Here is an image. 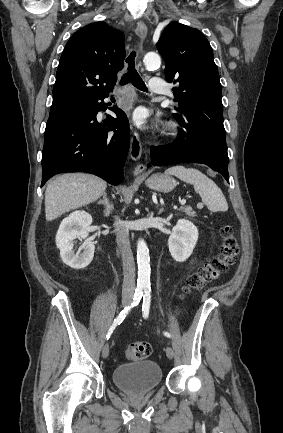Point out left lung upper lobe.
I'll return each instance as SVG.
<instances>
[{"label": "left lung upper lobe", "instance_id": "1", "mask_svg": "<svg viewBox=\"0 0 283 433\" xmlns=\"http://www.w3.org/2000/svg\"><path fill=\"white\" fill-rule=\"evenodd\" d=\"M157 49L165 60L167 82L173 88L174 118L182 124H212L222 128L221 84L212 48L199 30L171 22Z\"/></svg>", "mask_w": 283, "mask_h": 433}]
</instances>
